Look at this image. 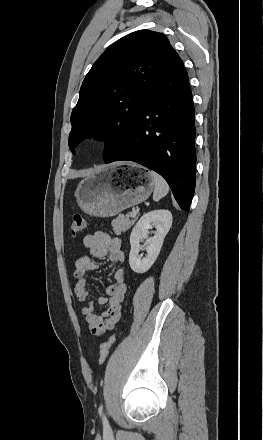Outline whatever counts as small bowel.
I'll return each mask as SVG.
<instances>
[{"instance_id":"c3829d8e","label":"small bowel","mask_w":263,"mask_h":440,"mask_svg":"<svg viewBox=\"0 0 263 440\" xmlns=\"http://www.w3.org/2000/svg\"><path fill=\"white\" fill-rule=\"evenodd\" d=\"M82 243L90 255L80 257L75 263L74 294L79 302L87 300L92 295L88 289V273L101 268L94 259L107 257L111 263L120 265L114 272V283L106 289L105 295L98 299L99 304H108L107 310L101 314L96 313L93 301L81 309L89 330L99 336L113 329L121 316V304L127 292L126 272L123 267L125 253L119 238L111 237L102 231L86 235Z\"/></svg>"}]
</instances>
